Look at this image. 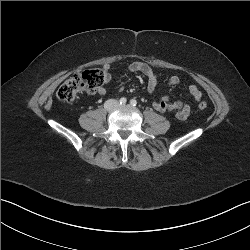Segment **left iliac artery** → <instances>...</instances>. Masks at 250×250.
Here are the masks:
<instances>
[{"mask_svg": "<svg viewBox=\"0 0 250 250\" xmlns=\"http://www.w3.org/2000/svg\"><path fill=\"white\" fill-rule=\"evenodd\" d=\"M130 104L133 105V106H136L137 105V101L135 99H132L130 101Z\"/></svg>", "mask_w": 250, "mask_h": 250, "instance_id": "44dca946", "label": "left iliac artery"}]
</instances>
